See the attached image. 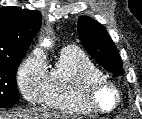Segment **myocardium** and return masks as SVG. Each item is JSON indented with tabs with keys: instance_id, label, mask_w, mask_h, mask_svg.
<instances>
[{
	"instance_id": "f54148a6",
	"label": "myocardium",
	"mask_w": 142,
	"mask_h": 119,
	"mask_svg": "<svg viewBox=\"0 0 142 119\" xmlns=\"http://www.w3.org/2000/svg\"><path fill=\"white\" fill-rule=\"evenodd\" d=\"M111 97L112 102L106 106L103 102V96ZM85 103L93 111L100 113H109L113 111L120 102V93L117 87L105 78L90 81L83 93Z\"/></svg>"
}]
</instances>
